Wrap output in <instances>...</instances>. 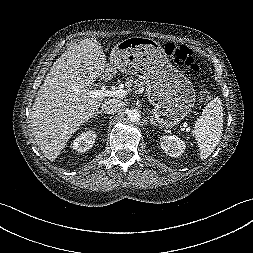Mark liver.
<instances>
[{
  "label": "liver",
  "instance_id": "liver-1",
  "mask_svg": "<svg viewBox=\"0 0 253 253\" xmlns=\"http://www.w3.org/2000/svg\"><path fill=\"white\" fill-rule=\"evenodd\" d=\"M105 55L96 39L68 48L53 64L37 92L31 112V132L44 156L54 161L72 134L103 102L92 98L94 81L106 72Z\"/></svg>",
  "mask_w": 253,
  "mask_h": 253
}]
</instances>
